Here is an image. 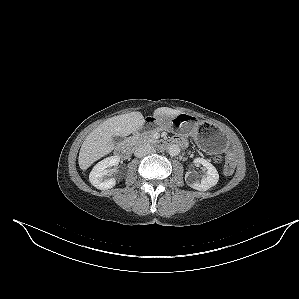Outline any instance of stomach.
<instances>
[{
  "label": "stomach",
  "instance_id": "1",
  "mask_svg": "<svg viewBox=\"0 0 299 299\" xmlns=\"http://www.w3.org/2000/svg\"><path fill=\"white\" fill-rule=\"evenodd\" d=\"M178 125V131L190 134L196 144L204 151L215 153L223 149L226 136L217 126L203 121H195L187 113H179L172 117H148L140 130L152 131L155 129L173 130Z\"/></svg>",
  "mask_w": 299,
  "mask_h": 299
}]
</instances>
